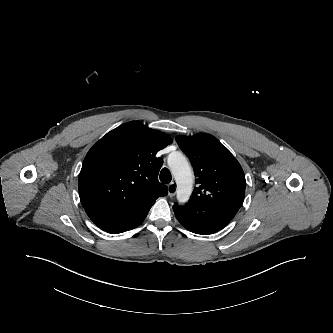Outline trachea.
I'll list each match as a JSON object with an SVG mask.
<instances>
[{
  "label": "trachea",
  "instance_id": "trachea-1",
  "mask_svg": "<svg viewBox=\"0 0 333 333\" xmlns=\"http://www.w3.org/2000/svg\"><path fill=\"white\" fill-rule=\"evenodd\" d=\"M171 180H172V176H171L170 171L167 168H163L160 172V181L165 184H168L171 182Z\"/></svg>",
  "mask_w": 333,
  "mask_h": 333
}]
</instances>
